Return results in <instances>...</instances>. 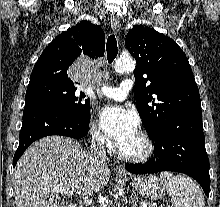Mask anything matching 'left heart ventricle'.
I'll return each mask as SVG.
<instances>
[{
    "label": "left heart ventricle",
    "instance_id": "obj_1",
    "mask_svg": "<svg viewBox=\"0 0 220 207\" xmlns=\"http://www.w3.org/2000/svg\"><path fill=\"white\" fill-rule=\"evenodd\" d=\"M119 149L126 155H139L144 151L145 143L139 133H137L131 139L120 145Z\"/></svg>",
    "mask_w": 220,
    "mask_h": 207
}]
</instances>
